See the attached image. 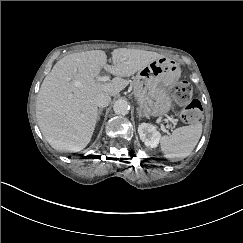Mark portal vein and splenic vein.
Listing matches in <instances>:
<instances>
[{"instance_id": "1", "label": "portal vein and splenic vein", "mask_w": 243, "mask_h": 243, "mask_svg": "<svg viewBox=\"0 0 243 243\" xmlns=\"http://www.w3.org/2000/svg\"><path fill=\"white\" fill-rule=\"evenodd\" d=\"M96 80L97 81H108L109 80V77L108 76L97 77ZM160 128H161V131L163 133H165L166 135H169L170 134V131L165 127L164 124H161L160 125Z\"/></svg>"}]
</instances>
